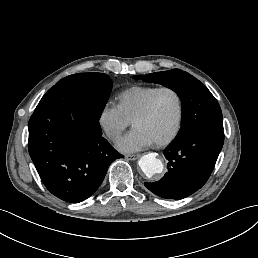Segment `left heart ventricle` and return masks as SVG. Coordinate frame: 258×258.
Listing matches in <instances>:
<instances>
[{
  "label": "left heart ventricle",
  "mask_w": 258,
  "mask_h": 258,
  "mask_svg": "<svg viewBox=\"0 0 258 258\" xmlns=\"http://www.w3.org/2000/svg\"><path fill=\"white\" fill-rule=\"evenodd\" d=\"M176 113V96L172 92H163L156 98L151 118L144 127L156 136L165 137L173 129Z\"/></svg>",
  "instance_id": "left-heart-ventricle-1"
}]
</instances>
